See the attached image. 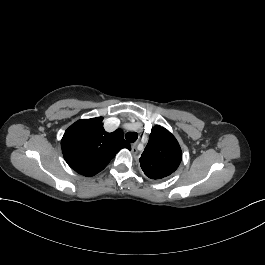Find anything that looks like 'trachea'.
Instances as JSON below:
<instances>
[{
  "label": "trachea",
  "mask_w": 265,
  "mask_h": 265,
  "mask_svg": "<svg viewBox=\"0 0 265 265\" xmlns=\"http://www.w3.org/2000/svg\"><path fill=\"white\" fill-rule=\"evenodd\" d=\"M125 138L129 143H133L137 140L138 134L136 132H127Z\"/></svg>",
  "instance_id": "1"
}]
</instances>
